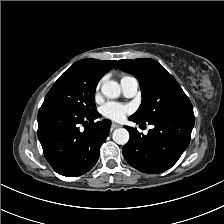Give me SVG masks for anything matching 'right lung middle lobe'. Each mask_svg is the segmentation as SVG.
<instances>
[{"label":"right lung middle lobe","mask_w":224,"mask_h":224,"mask_svg":"<svg viewBox=\"0 0 224 224\" xmlns=\"http://www.w3.org/2000/svg\"><path fill=\"white\" fill-rule=\"evenodd\" d=\"M100 79L86 68L73 64L53 84L43 103L68 108L79 114H93L97 111L95 90Z\"/></svg>","instance_id":"right-lung-middle-lobe-1"}]
</instances>
